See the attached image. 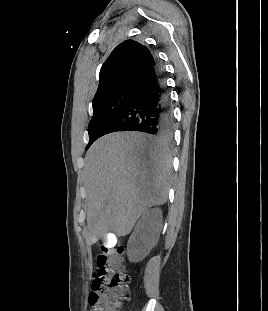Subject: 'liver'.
<instances>
[{
    "label": "liver",
    "mask_w": 268,
    "mask_h": 311,
    "mask_svg": "<svg viewBox=\"0 0 268 311\" xmlns=\"http://www.w3.org/2000/svg\"><path fill=\"white\" fill-rule=\"evenodd\" d=\"M172 160L136 132L96 140L85 156L86 241L129 234L138 218L167 201Z\"/></svg>",
    "instance_id": "liver-1"
}]
</instances>
